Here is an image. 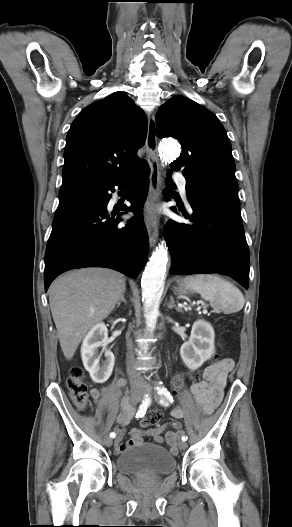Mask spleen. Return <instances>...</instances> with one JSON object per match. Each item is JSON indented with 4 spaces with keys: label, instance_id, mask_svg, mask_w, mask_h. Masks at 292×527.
Here are the masks:
<instances>
[{
    "label": "spleen",
    "instance_id": "spleen-1",
    "mask_svg": "<svg viewBox=\"0 0 292 527\" xmlns=\"http://www.w3.org/2000/svg\"><path fill=\"white\" fill-rule=\"evenodd\" d=\"M183 283L209 301L214 309L232 313L240 311L244 306L245 300L241 291L216 275L187 276Z\"/></svg>",
    "mask_w": 292,
    "mask_h": 527
}]
</instances>
